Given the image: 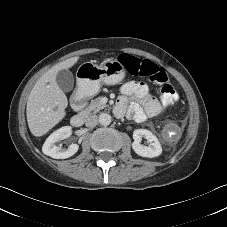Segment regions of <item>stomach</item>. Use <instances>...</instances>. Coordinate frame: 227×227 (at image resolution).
<instances>
[{
    "label": "stomach",
    "mask_w": 227,
    "mask_h": 227,
    "mask_svg": "<svg viewBox=\"0 0 227 227\" xmlns=\"http://www.w3.org/2000/svg\"><path fill=\"white\" fill-rule=\"evenodd\" d=\"M125 77L124 66L118 60H106L101 66L85 62L78 68V90L86 97L100 91L102 84L115 85Z\"/></svg>",
    "instance_id": "stomach-1"
}]
</instances>
